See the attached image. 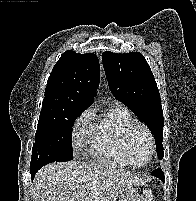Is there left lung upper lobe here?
Returning a JSON list of instances; mask_svg holds the SVG:
<instances>
[{
	"label": "left lung upper lobe",
	"mask_w": 196,
	"mask_h": 201,
	"mask_svg": "<svg viewBox=\"0 0 196 201\" xmlns=\"http://www.w3.org/2000/svg\"><path fill=\"white\" fill-rule=\"evenodd\" d=\"M102 61L113 95L149 127L158 158L162 159L164 117L159 90L146 59L139 52L106 51Z\"/></svg>",
	"instance_id": "5c2ea615"
}]
</instances>
